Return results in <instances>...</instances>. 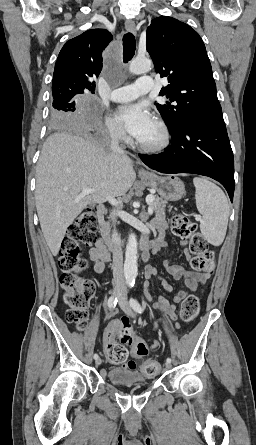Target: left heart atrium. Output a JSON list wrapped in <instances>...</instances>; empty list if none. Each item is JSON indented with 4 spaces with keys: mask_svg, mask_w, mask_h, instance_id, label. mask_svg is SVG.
Masks as SVG:
<instances>
[{
    "mask_svg": "<svg viewBox=\"0 0 256 445\" xmlns=\"http://www.w3.org/2000/svg\"><path fill=\"white\" fill-rule=\"evenodd\" d=\"M117 119L125 130L134 138H142L154 124L149 110L138 104L127 105L119 108Z\"/></svg>",
    "mask_w": 256,
    "mask_h": 445,
    "instance_id": "left-heart-atrium-1",
    "label": "left heart atrium"
}]
</instances>
